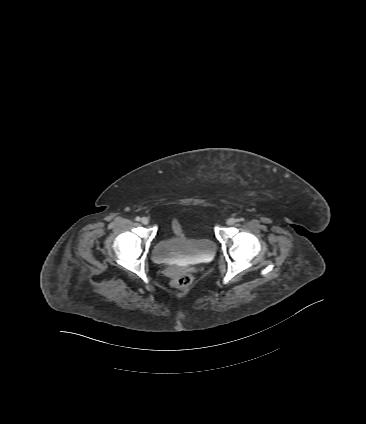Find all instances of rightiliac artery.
<instances>
[{
	"instance_id": "1",
	"label": "right iliac artery",
	"mask_w": 366,
	"mask_h": 424,
	"mask_svg": "<svg viewBox=\"0 0 366 424\" xmlns=\"http://www.w3.org/2000/svg\"><path fill=\"white\" fill-rule=\"evenodd\" d=\"M140 219H141V218H140L139 216H137V217L135 218V220H136V221H140Z\"/></svg>"
}]
</instances>
